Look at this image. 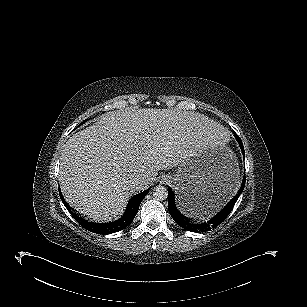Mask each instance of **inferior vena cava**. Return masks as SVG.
Masks as SVG:
<instances>
[{
  "instance_id": "obj_1",
  "label": "inferior vena cava",
  "mask_w": 307,
  "mask_h": 307,
  "mask_svg": "<svg viewBox=\"0 0 307 307\" xmlns=\"http://www.w3.org/2000/svg\"><path fill=\"white\" fill-rule=\"evenodd\" d=\"M145 181L143 179L135 178L130 182L131 187L137 188L142 185Z\"/></svg>"
}]
</instances>
